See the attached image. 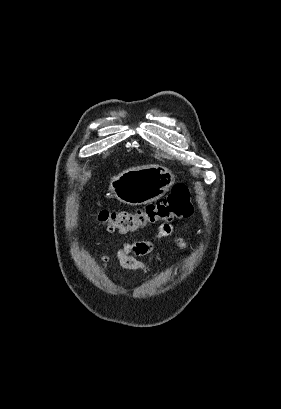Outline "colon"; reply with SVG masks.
Here are the masks:
<instances>
[{
	"instance_id": "1",
	"label": "colon",
	"mask_w": 281,
	"mask_h": 409,
	"mask_svg": "<svg viewBox=\"0 0 281 409\" xmlns=\"http://www.w3.org/2000/svg\"><path fill=\"white\" fill-rule=\"evenodd\" d=\"M190 190L186 185L176 186L168 196L133 210H101L95 218L109 231L133 233L159 222L172 221L191 212Z\"/></svg>"
}]
</instances>
